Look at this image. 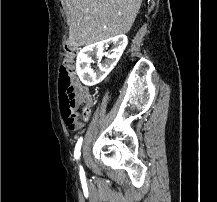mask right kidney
<instances>
[{
    "label": "right kidney",
    "instance_id": "right-kidney-1",
    "mask_svg": "<svg viewBox=\"0 0 217 202\" xmlns=\"http://www.w3.org/2000/svg\"><path fill=\"white\" fill-rule=\"evenodd\" d=\"M105 44L106 46H108V44L112 46V54H107L108 58L105 60L104 64H100L99 60H97L99 70L94 74L93 70H90L89 64H91L95 54L97 58L104 56L103 50ZM127 44L128 40L126 36H115V38H108V40L96 42V44H91V46H85V48L79 52L76 62V72L81 82H83L85 86H93V84H99L101 80H104L109 72L113 70L114 66H116Z\"/></svg>",
    "mask_w": 217,
    "mask_h": 202
}]
</instances>
